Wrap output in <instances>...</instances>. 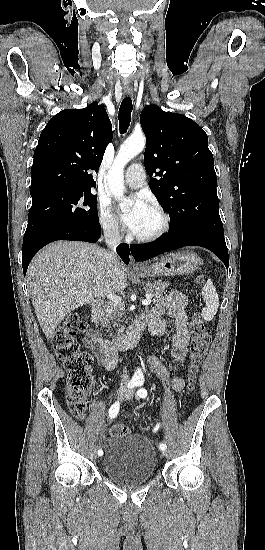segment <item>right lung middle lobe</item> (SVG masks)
<instances>
[{"label":"right lung middle lobe","instance_id":"dd1d6c3e","mask_svg":"<svg viewBox=\"0 0 265 550\" xmlns=\"http://www.w3.org/2000/svg\"><path fill=\"white\" fill-rule=\"evenodd\" d=\"M30 194L32 207L25 235L57 224L99 222L97 197L91 190L40 187L31 189Z\"/></svg>","mask_w":265,"mask_h":550}]
</instances>
